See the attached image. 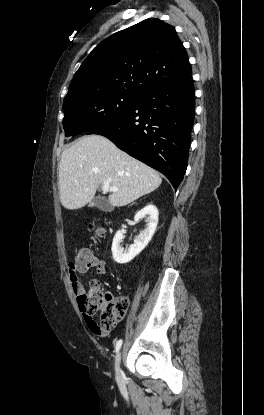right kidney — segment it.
Here are the masks:
<instances>
[{"label":"right kidney","mask_w":264,"mask_h":415,"mask_svg":"<svg viewBox=\"0 0 264 415\" xmlns=\"http://www.w3.org/2000/svg\"><path fill=\"white\" fill-rule=\"evenodd\" d=\"M158 215V209L152 204L145 206L142 210L137 212L134 220L139 221L140 219L145 218L147 227L135 238L134 244L126 249L121 246L123 231L118 230L116 232L112 242V255L117 263L125 264L130 262L148 245L156 231ZM122 227L125 228L126 226L123 225Z\"/></svg>","instance_id":"obj_1"}]
</instances>
